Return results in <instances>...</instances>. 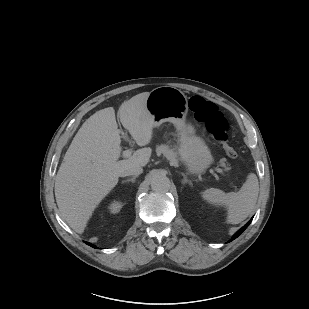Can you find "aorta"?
<instances>
[{"label":"aorta","mask_w":309,"mask_h":309,"mask_svg":"<svg viewBox=\"0 0 309 309\" xmlns=\"http://www.w3.org/2000/svg\"><path fill=\"white\" fill-rule=\"evenodd\" d=\"M151 188L156 193H166L170 189V180L165 175H155L151 180Z\"/></svg>","instance_id":"obj_1"}]
</instances>
